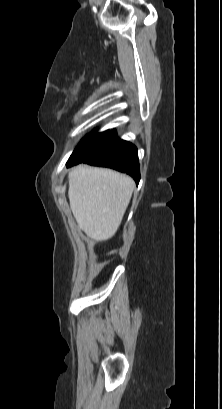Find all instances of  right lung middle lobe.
I'll return each instance as SVG.
<instances>
[{"mask_svg": "<svg viewBox=\"0 0 222 409\" xmlns=\"http://www.w3.org/2000/svg\"><path fill=\"white\" fill-rule=\"evenodd\" d=\"M110 133H93L86 136L85 139L76 147L67 163H78L97 153L106 143Z\"/></svg>", "mask_w": 222, "mask_h": 409, "instance_id": "right-lung-middle-lobe-1", "label": "right lung middle lobe"}]
</instances>
